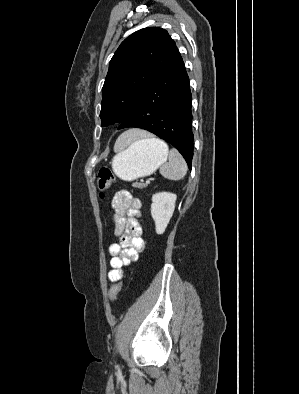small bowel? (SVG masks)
Masks as SVG:
<instances>
[{"label": "small bowel", "mask_w": 299, "mask_h": 394, "mask_svg": "<svg viewBox=\"0 0 299 394\" xmlns=\"http://www.w3.org/2000/svg\"><path fill=\"white\" fill-rule=\"evenodd\" d=\"M114 235L119 238L109 246L111 255L110 281L121 279L123 267L138 259L145 247L139 223L141 201L126 190L115 193L112 199Z\"/></svg>", "instance_id": "obj_1"}]
</instances>
